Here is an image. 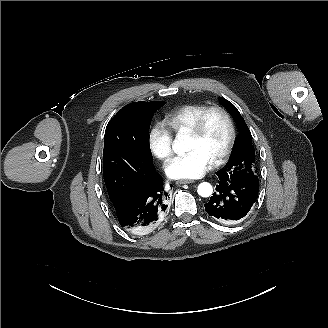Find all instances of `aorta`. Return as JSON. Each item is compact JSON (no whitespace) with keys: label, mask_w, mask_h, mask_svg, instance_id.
<instances>
[{"label":"aorta","mask_w":328,"mask_h":328,"mask_svg":"<svg viewBox=\"0 0 328 328\" xmlns=\"http://www.w3.org/2000/svg\"><path fill=\"white\" fill-rule=\"evenodd\" d=\"M172 148L176 154H182L183 152L189 151L190 145L188 138L182 134H178ZM197 192L201 197L206 198L212 195L213 188L210 183L203 182L198 185Z\"/></svg>","instance_id":"aorta-1"}]
</instances>
